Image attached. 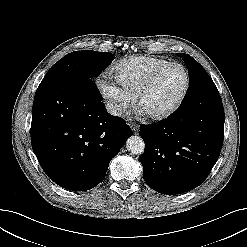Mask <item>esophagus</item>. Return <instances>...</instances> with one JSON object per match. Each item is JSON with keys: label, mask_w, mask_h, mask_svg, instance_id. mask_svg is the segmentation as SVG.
<instances>
[{"label": "esophagus", "mask_w": 247, "mask_h": 247, "mask_svg": "<svg viewBox=\"0 0 247 247\" xmlns=\"http://www.w3.org/2000/svg\"><path fill=\"white\" fill-rule=\"evenodd\" d=\"M132 131L134 134H137L138 133V130H139V126L136 124V123H129Z\"/></svg>", "instance_id": "obj_1"}]
</instances>
